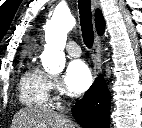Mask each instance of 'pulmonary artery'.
Instances as JSON below:
<instances>
[{
	"instance_id": "1",
	"label": "pulmonary artery",
	"mask_w": 142,
	"mask_h": 128,
	"mask_svg": "<svg viewBox=\"0 0 142 128\" xmlns=\"http://www.w3.org/2000/svg\"><path fill=\"white\" fill-rule=\"evenodd\" d=\"M66 51L69 55L73 57H78L81 55V49L79 45L74 41H69L66 45Z\"/></svg>"
}]
</instances>
